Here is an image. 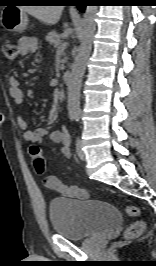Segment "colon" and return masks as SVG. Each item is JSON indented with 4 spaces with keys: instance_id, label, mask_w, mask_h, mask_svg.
<instances>
[{
    "instance_id": "5ec220e1",
    "label": "colon",
    "mask_w": 156,
    "mask_h": 266,
    "mask_svg": "<svg viewBox=\"0 0 156 266\" xmlns=\"http://www.w3.org/2000/svg\"><path fill=\"white\" fill-rule=\"evenodd\" d=\"M19 53L18 46L14 44L12 41H6L3 45V55L6 61L13 62ZM29 152L31 155L32 163L34 168L36 169L37 173L42 174L45 172V160L42 155L40 148L37 145H30ZM127 214L133 217H136L140 214V209L136 206H128ZM145 229V223L143 221H136L130 224L125 232L124 238L125 239H134L140 236Z\"/></svg>"
}]
</instances>
